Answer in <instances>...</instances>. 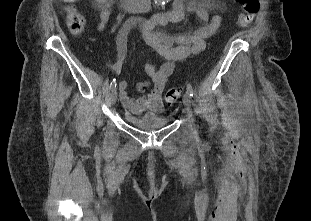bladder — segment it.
Returning <instances> with one entry per match:
<instances>
[{
	"label": "bladder",
	"mask_w": 311,
	"mask_h": 221,
	"mask_svg": "<svg viewBox=\"0 0 311 221\" xmlns=\"http://www.w3.org/2000/svg\"><path fill=\"white\" fill-rule=\"evenodd\" d=\"M124 117L128 118V122L137 126L139 129L152 132L157 129L166 128L169 126L170 118H164L162 114L144 113L140 116L132 114L128 110L123 111Z\"/></svg>",
	"instance_id": "bladder-1"
}]
</instances>
